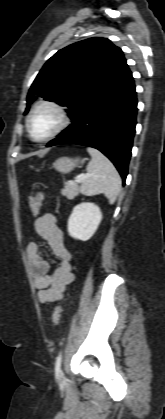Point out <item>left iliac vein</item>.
<instances>
[{"label": "left iliac vein", "mask_w": 165, "mask_h": 419, "mask_svg": "<svg viewBox=\"0 0 165 419\" xmlns=\"http://www.w3.org/2000/svg\"><path fill=\"white\" fill-rule=\"evenodd\" d=\"M63 377H64V374H63V372H62V371H60V372H59V378H61V379H62Z\"/></svg>", "instance_id": "4c4485c4"}]
</instances>
